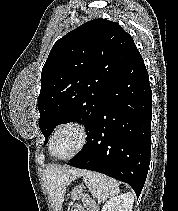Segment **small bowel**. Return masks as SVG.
Listing matches in <instances>:
<instances>
[{"label": "small bowel", "instance_id": "1", "mask_svg": "<svg viewBox=\"0 0 178 211\" xmlns=\"http://www.w3.org/2000/svg\"><path fill=\"white\" fill-rule=\"evenodd\" d=\"M76 211H99V207L94 201L90 199H84Z\"/></svg>", "mask_w": 178, "mask_h": 211}]
</instances>
